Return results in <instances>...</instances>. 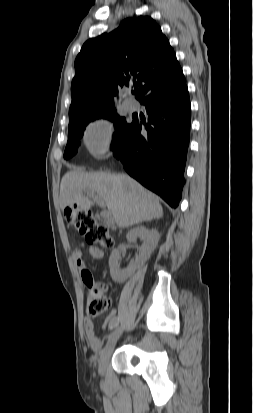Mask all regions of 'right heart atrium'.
Wrapping results in <instances>:
<instances>
[{"instance_id":"right-heart-atrium-1","label":"right heart atrium","mask_w":253,"mask_h":413,"mask_svg":"<svg viewBox=\"0 0 253 413\" xmlns=\"http://www.w3.org/2000/svg\"><path fill=\"white\" fill-rule=\"evenodd\" d=\"M112 124L108 119L99 118L86 128L84 143L90 154L103 158L109 152L112 143Z\"/></svg>"}]
</instances>
